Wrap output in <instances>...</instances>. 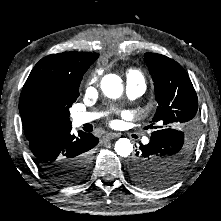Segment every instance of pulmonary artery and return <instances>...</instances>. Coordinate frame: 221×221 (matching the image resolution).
Returning a JSON list of instances; mask_svg holds the SVG:
<instances>
[{
  "mask_svg": "<svg viewBox=\"0 0 221 221\" xmlns=\"http://www.w3.org/2000/svg\"><path fill=\"white\" fill-rule=\"evenodd\" d=\"M146 90V85L141 79H129L126 86V94L130 100H135L141 97ZM100 115L95 112H80L73 115V124L81 126L85 123L92 122Z\"/></svg>",
  "mask_w": 221,
  "mask_h": 221,
  "instance_id": "1",
  "label": "pulmonary artery"
}]
</instances>
